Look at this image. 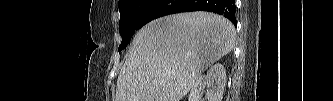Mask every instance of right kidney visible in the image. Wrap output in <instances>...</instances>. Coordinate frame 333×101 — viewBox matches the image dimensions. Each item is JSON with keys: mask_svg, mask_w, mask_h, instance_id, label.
I'll use <instances>...</instances> for the list:
<instances>
[{"mask_svg": "<svg viewBox=\"0 0 333 101\" xmlns=\"http://www.w3.org/2000/svg\"><path fill=\"white\" fill-rule=\"evenodd\" d=\"M226 85V70L223 65L217 63L209 68L206 75H201L194 82L188 101H204L205 92L207 101H221ZM205 88L207 90L205 91Z\"/></svg>", "mask_w": 333, "mask_h": 101, "instance_id": "obj_1", "label": "right kidney"}]
</instances>
